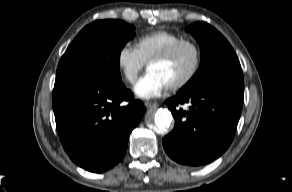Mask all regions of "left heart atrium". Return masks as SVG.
<instances>
[{
    "instance_id": "left-heart-atrium-1",
    "label": "left heart atrium",
    "mask_w": 292,
    "mask_h": 192,
    "mask_svg": "<svg viewBox=\"0 0 292 192\" xmlns=\"http://www.w3.org/2000/svg\"><path fill=\"white\" fill-rule=\"evenodd\" d=\"M168 88V84L157 73L148 70L136 83L134 91L140 98L152 99L160 96Z\"/></svg>"
}]
</instances>
